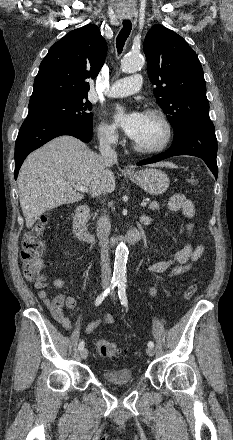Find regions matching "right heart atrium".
Instances as JSON below:
<instances>
[{
	"mask_svg": "<svg viewBox=\"0 0 233 440\" xmlns=\"http://www.w3.org/2000/svg\"><path fill=\"white\" fill-rule=\"evenodd\" d=\"M97 134L100 142L105 146L114 147L119 143V134L116 128L107 122L102 121L99 123Z\"/></svg>",
	"mask_w": 233,
	"mask_h": 440,
	"instance_id": "right-heart-atrium-1",
	"label": "right heart atrium"
}]
</instances>
